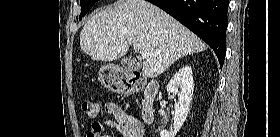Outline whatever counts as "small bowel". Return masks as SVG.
Listing matches in <instances>:
<instances>
[{
  "mask_svg": "<svg viewBox=\"0 0 280 137\" xmlns=\"http://www.w3.org/2000/svg\"><path fill=\"white\" fill-rule=\"evenodd\" d=\"M106 111L112 115L114 119L92 123L90 131L87 133V137H111V135L104 133L106 127H115L121 131L123 137H132L130 136L131 132L129 130L131 123H136L139 126V131L134 137H142L139 122L128 115L121 106L115 103H109L106 105Z\"/></svg>",
  "mask_w": 280,
  "mask_h": 137,
  "instance_id": "obj_1",
  "label": "small bowel"
}]
</instances>
